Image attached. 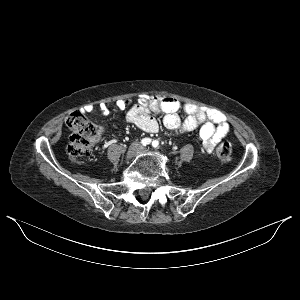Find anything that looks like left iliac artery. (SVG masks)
<instances>
[{"label": "left iliac artery", "instance_id": "44dca946", "mask_svg": "<svg viewBox=\"0 0 300 300\" xmlns=\"http://www.w3.org/2000/svg\"><path fill=\"white\" fill-rule=\"evenodd\" d=\"M158 145H159V142H158L157 140H154V141L152 142V147H153V148H157Z\"/></svg>", "mask_w": 300, "mask_h": 300}]
</instances>
